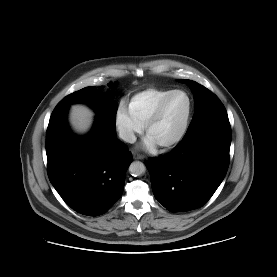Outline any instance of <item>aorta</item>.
<instances>
[{
  "label": "aorta",
  "instance_id": "aorta-1",
  "mask_svg": "<svg viewBox=\"0 0 277 277\" xmlns=\"http://www.w3.org/2000/svg\"><path fill=\"white\" fill-rule=\"evenodd\" d=\"M145 171H146V167L140 161H134V162H132L130 167H129L130 174L135 176V177L144 174Z\"/></svg>",
  "mask_w": 277,
  "mask_h": 277
}]
</instances>
